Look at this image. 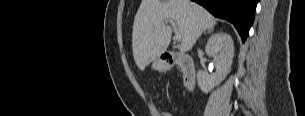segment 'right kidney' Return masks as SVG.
I'll list each match as a JSON object with an SVG mask.
<instances>
[{
    "mask_svg": "<svg viewBox=\"0 0 305 116\" xmlns=\"http://www.w3.org/2000/svg\"><path fill=\"white\" fill-rule=\"evenodd\" d=\"M205 52L214 60L216 73L209 75L200 70L197 72V83L202 92L208 93L219 85L231 71L234 57V44L231 36L220 32L212 35L205 47Z\"/></svg>",
    "mask_w": 305,
    "mask_h": 116,
    "instance_id": "obj_1",
    "label": "right kidney"
}]
</instances>
